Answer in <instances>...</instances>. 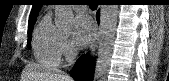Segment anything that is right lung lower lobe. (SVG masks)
<instances>
[{
  "label": "right lung lower lobe",
  "mask_w": 169,
  "mask_h": 81,
  "mask_svg": "<svg viewBox=\"0 0 169 81\" xmlns=\"http://www.w3.org/2000/svg\"><path fill=\"white\" fill-rule=\"evenodd\" d=\"M72 77L76 81H92L93 62L88 54L81 56L72 70Z\"/></svg>",
  "instance_id": "1"
}]
</instances>
